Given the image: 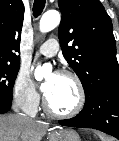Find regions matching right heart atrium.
<instances>
[{"instance_id": "d8ad5b80", "label": "right heart atrium", "mask_w": 119, "mask_h": 141, "mask_svg": "<svg viewBox=\"0 0 119 141\" xmlns=\"http://www.w3.org/2000/svg\"><path fill=\"white\" fill-rule=\"evenodd\" d=\"M14 100L24 111L30 112L37 108L39 96L35 85L26 71H20L13 87Z\"/></svg>"}]
</instances>
